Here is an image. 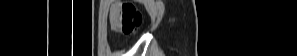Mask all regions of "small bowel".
I'll use <instances>...</instances> for the list:
<instances>
[{
  "instance_id": "small-bowel-1",
  "label": "small bowel",
  "mask_w": 297,
  "mask_h": 56,
  "mask_svg": "<svg viewBox=\"0 0 297 56\" xmlns=\"http://www.w3.org/2000/svg\"><path fill=\"white\" fill-rule=\"evenodd\" d=\"M118 6L117 4H115L111 11H110V15H109V21H110V26L114 31H119V23H120V19H119V15H118Z\"/></svg>"
}]
</instances>
